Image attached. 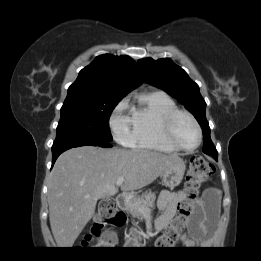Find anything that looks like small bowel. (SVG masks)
<instances>
[{"instance_id": "obj_1", "label": "small bowel", "mask_w": 261, "mask_h": 261, "mask_svg": "<svg viewBox=\"0 0 261 261\" xmlns=\"http://www.w3.org/2000/svg\"><path fill=\"white\" fill-rule=\"evenodd\" d=\"M185 200L182 191H162L158 199L159 214L155 219L156 230L166 228L173 218L177 206ZM219 216V194L217 190H205L201 200L196 204L189 223L192 235H182V243L186 248H194L201 244L207 231L216 226Z\"/></svg>"}]
</instances>
